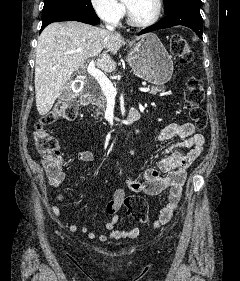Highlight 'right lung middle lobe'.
<instances>
[{
    "label": "right lung middle lobe",
    "instance_id": "dd1d6c3e",
    "mask_svg": "<svg viewBox=\"0 0 240 281\" xmlns=\"http://www.w3.org/2000/svg\"><path fill=\"white\" fill-rule=\"evenodd\" d=\"M62 14L97 16L90 0H44L42 22Z\"/></svg>",
    "mask_w": 240,
    "mask_h": 281
}]
</instances>
